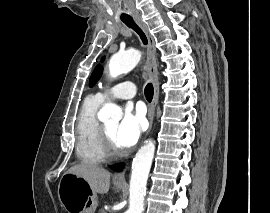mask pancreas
Listing matches in <instances>:
<instances>
[{"instance_id": "cf45deb5", "label": "pancreas", "mask_w": 270, "mask_h": 213, "mask_svg": "<svg viewBox=\"0 0 270 213\" xmlns=\"http://www.w3.org/2000/svg\"><path fill=\"white\" fill-rule=\"evenodd\" d=\"M99 213H106L104 209H100Z\"/></svg>"}]
</instances>
